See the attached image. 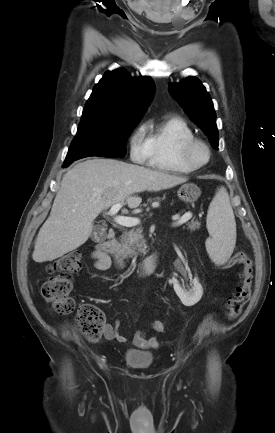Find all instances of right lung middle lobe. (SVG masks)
<instances>
[{"instance_id": "1", "label": "right lung middle lobe", "mask_w": 275, "mask_h": 433, "mask_svg": "<svg viewBox=\"0 0 275 433\" xmlns=\"http://www.w3.org/2000/svg\"><path fill=\"white\" fill-rule=\"evenodd\" d=\"M137 123L138 120L123 123L80 122L63 167L90 156L124 157L127 137Z\"/></svg>"}]
</instances>
